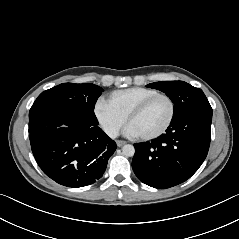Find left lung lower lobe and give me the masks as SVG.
<instances>
[{
  "label": "left lung lower lobe",
  "instance_id": "obj_1",
  "mask_svg": "<svg viewBox=\"0 0 239 239\" xmlns=\"http://www.w3.org/2000/svg\"><path fill=\"white\" fill-rule=\"evenodd\" d=\"M212 108L172 119L166 133L136 143L132 168L145 184L165 189L189 179L205 160L211 139Z\"/></svg>",
  "mask_w": 239,
  "mask_h": 239
}]
</instances>
